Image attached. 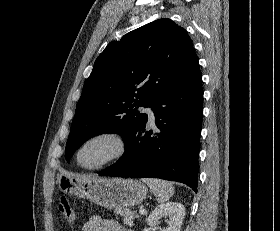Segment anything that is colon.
Segmentation results:
<instances>
[{
  "label": "colon",
  "mask_w": 280,
  "mask_h": 231,
  "mask_svg": "<svg viewBox=\"0 0 280 231\" xmlns=\"http://www.w3.org/2000/svg\"><path fill=\"white\" fill-rule=\"evenodd\" d=\"M59 211L64 214L61 215V220H75V215H72L75 212V209L72 208L70 200L66 196H62L58 201Z\"/></svg>",
  "instance_id": "5ec220e1"
}]
</instances>
